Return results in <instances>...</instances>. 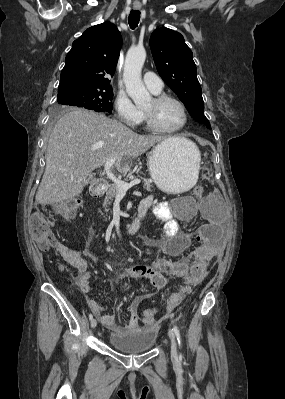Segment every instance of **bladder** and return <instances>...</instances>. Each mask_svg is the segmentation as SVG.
<instances>
[{
    "label": "bladder",
    "mask_w": 285,
    "mask_h": 399,
    "mask_svg": "<svg viewBox=\"0 0 285 399\" xmlns=\"http://www.w3.org/2000/svg\"><path fill=\"white\" fill-rule=\"evenodd\" d=\"M189 200V197H182ZM156 341L154 327H136L119 333H112L108 337L109 345L125 355H138L150 351Z\"/></svg>",
    "instance_id": "1"
}]
</instances>
